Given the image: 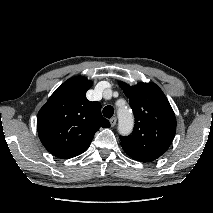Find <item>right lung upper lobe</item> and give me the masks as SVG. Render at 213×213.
<instances>
[{
  "instance_id": "right-lung-upper-lobe-1",
  "label": "right lung upper lobe",
  "mask_w": 213,
  "mask_h": 213,
  "mask_svg": "<svg viewBox=\"0 0 213 213\" xmlns=\"http://www.w3.org/2000/svg\"><path fill=\"white\" fill-rule=\"evenodd\" d=\"M91 86L92 82L83 76L70 78L38 112L39 138L57 158L80 155L88 149L100 127H110L109 121L101 114L100 103L86 98Z\"/></svg>"
}]
</instances>
